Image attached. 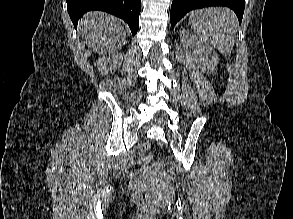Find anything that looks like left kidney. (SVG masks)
Returning a JSON list of instances; mask_svg holds the SVG:
<instances>
[{
	"mask_svg": "<svg viewBox=\"0 0 293 219\" xmlns=\"http://www.w3.org/2000/svg\"><path fill=\"white\" fill-rule=\"evenodd\" d=\"M180 37L191 59L197 62L203 71L211 73L217 68L219 58L212 47L193 36L186 29L180 31Z\"/></svg>",
	"mask_w": 293,
	"mask_h": 219,
	"instance_id": "obj_1",
	"label": "left kidney"
}]
</instances>
